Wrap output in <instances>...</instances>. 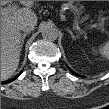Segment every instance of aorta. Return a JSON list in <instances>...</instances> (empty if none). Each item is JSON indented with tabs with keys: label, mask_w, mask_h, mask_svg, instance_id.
Instances as JSON below:
<instances>
[{
	"label": "aorta",
	"mask_w": 109,
	"mask_h": 109,
	"mask_svg": "<svg viewBox=\"0 0 109 109\" xmlns=\"http://www.w3.org/2000/svg\"><path fill=\"white\" fill-rule=\"evenodd\" d=\"M42 37L48 41H54L58 38V31L52 24H45L41 30Z\"/></svg>",
	"instance_id": "1"
}]
</instances>
